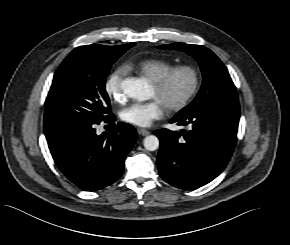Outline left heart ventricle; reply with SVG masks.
Returning <instances> with one entry per match:
<instances>
[{"instance_id": "b2bd125f", "label": "left heart ventricle", "mask_w": 290, "mask_h": 245, "mask_svg": "<svg viewBox=\"0 0 290 245\" xmlns=\"http://www.w3.org/2000/svg\"><path fill=\"white\" fill-rule=\"evenodd\" d=\"M192 77L187 72H181L175 75L170 81L168 87L158 92L153 86L151 97L159 99L165 107L178 101L189 89Z\"/></svg>"}]
</instances>
